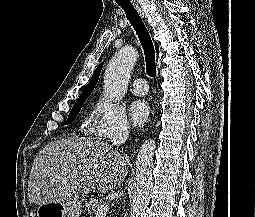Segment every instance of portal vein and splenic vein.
I'll list each match as a JSON object with an SVG mask.
<instances>
[{
  "label": "portal vein and splenic vein",
  "mask_w": 255,
  "mask_h": 217,
  "mask_svg": "<svg viewBox=\"0 0 255 217\" xmlns=\"http://www.w3.org/2000/svg\"><path fill=\"white\" fill-rule=\"evenodd\" d=\"M108 210H109V204L103 203L99 206L96 216L100 217L101 215L106 214Z\"/></svg>",
  "instance_id": "18ae733b"
}]
</instances>
